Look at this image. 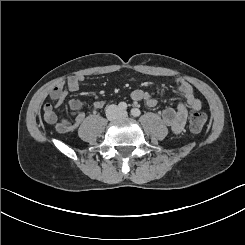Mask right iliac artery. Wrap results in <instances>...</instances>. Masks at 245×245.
<instances>
[{
    "label": "right iliac artery",
    "mask_w": 245,
    "mask_h": 245,
    "mask_svg": "<svg viewBox=\"0 0 245 245\" xmlns=\"http://www.w3.org/2000/svg\"><path fill=\"white\" fill-rule=\"evenodd\" d=\"M118 107L121 111H125L127 109V104L125 102H120Z\"/></svg>",
    "instance_id": "obj_1"
}]
</instances>
